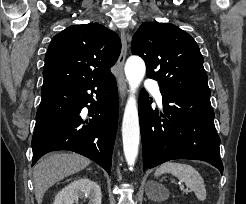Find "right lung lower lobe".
Returning a JSON list of instances; mask_svg holds the SVG:
<instances>
[{"instance_id":"98d812e1","label":"right lung lower lobe","mask_w":246,"mask_h":204,"mask_svg":"<svg viewBox=\"0 0 246 204\" xmlns=\"http://www.w3.org/2000/svg\"><path fill=\"white\" fill-rule=\"evenodd\" d=\"M41 95L32 138V165L48 152L70 150L90 158L110 174L118 123L114 75L43 89ZM84 107L88 108L86 116Z\"/></svg>"}]
</instances>
